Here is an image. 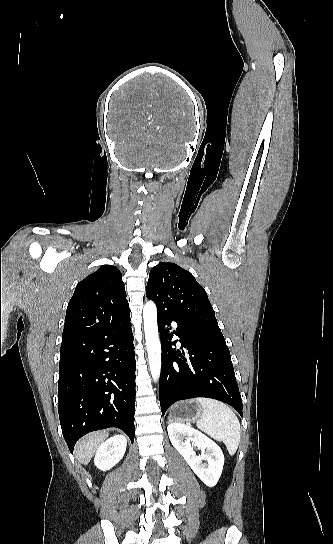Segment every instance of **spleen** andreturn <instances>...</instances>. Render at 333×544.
<instances>
[{
	"instance_id": "obj_1",
	"label": "spleen",
	"mask_w": 333,
	"mask_h": 544,
	"mask_svg": "<svg viewBox=\"0 0 333 544\" xmlns=\"http://www.w3.org/2000/svg\"><path fill=\"white\" fill-rule=\"evenodd\" d=\"M201 407L197 427L218 441H223L229 453L234 455L240 442V423L235 413L223 402L210 398H196Z\"/></svg>"
}]
</instances>
